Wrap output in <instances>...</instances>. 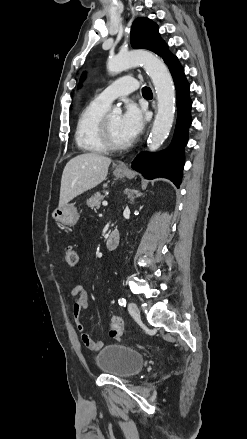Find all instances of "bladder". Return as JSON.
Wrapping results in <instances>:
<instances>
[{
	"instance_id": "obj_1",
	"label": "bladder",
	"mask_w": 247,
	"mask_h": 439,
	"mask_svg": "<svg viewBox=\"0 0 247 439\" xmlns=\"http://www.w3.org/2000/svg\"><path fill=\"white\" fill-rule=\"evenodd\" d=\"M96 365L105 374L129 378L142 370L144 356L134 348L111 344L99 351L96 356Z\"/></svg>"
}]
</instances>
